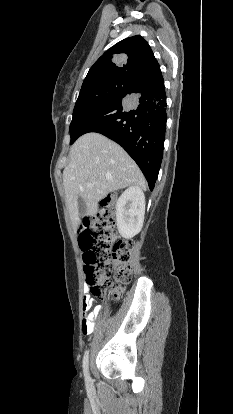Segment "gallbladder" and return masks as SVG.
Instances as JSON below:
<instances>
[{
	"instance_id": "gallbladder-1",
	"label": "gallbladder",
	"mask_w": 233,
	"mask_h": 414,
	"mask_svg": "<svg viewBox=\"0 0 233 414\" xmlns=\"http://www.w3.org/2000/svg\"><path fill=\"white\" fill-rule=\"evenodd\" d=\"M87 207L85 201L80 197L78 200V212L80 216H84L86 214Z\"/></svg>"
}]
</instances>
